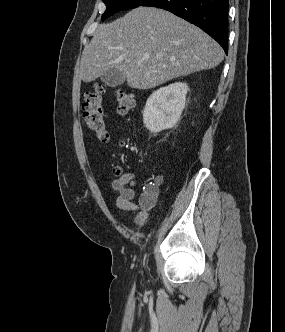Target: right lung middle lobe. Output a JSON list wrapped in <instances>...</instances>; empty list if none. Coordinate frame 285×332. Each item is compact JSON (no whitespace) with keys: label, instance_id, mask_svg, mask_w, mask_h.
<instances>
[{"label":"right lung middle lobe","instance_id":"obj_1","mask_svg":"<svg viewBox=\"0 0 285 332\" xmlns=\"http://www.w3.org/2000/svg\"><path fill=\"white\" fill-rule=\"evenodd\" d=\"M145 1L146 0H103L106 4V11L102 15V20L104 21L118 11L136 8L142 5Z\"/></svg>","mask_w":285,"mask_h":332}]
</instances>
